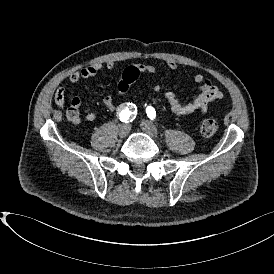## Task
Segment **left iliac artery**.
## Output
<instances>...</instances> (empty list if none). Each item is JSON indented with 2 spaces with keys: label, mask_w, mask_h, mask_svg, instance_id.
Returning <instances> with one entry per match:
<instances>
[{
  "label": "left iliac artery",
  "mask_w": 274,
  "mask_h": 274,
  "mask_svg": "<svg viewBox=\"0 0 274 274\" xmlns=\"http://www.w3.org/2000/svg\"><path fill=\"white\" fill-rule=\"evenodd\" d=\"M147 116L151 119L154 120L156 117V111L152 106H148L146 109Z\"/></svg>",
  "instance_id": "1"
}]
</instances>
